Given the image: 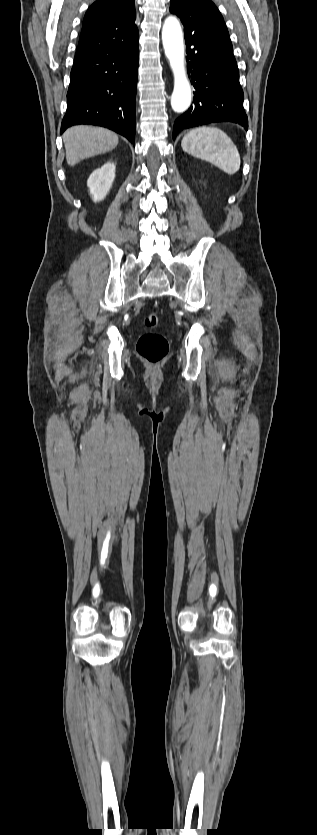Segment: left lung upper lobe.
<instances>
[{
	"instance_id": "1",
	"label": "left lung upper lobe",
	"mask_w": 317,
	"mask_h": 835,
	"mask_svg": "<svg viewBox=\"0 0 317 835\" xmlns=\"http://www.w3.org/2000/svg\"><path fill=\"white\" fill-rule=\"evenodd\" d=\"M170 11L180 17L184 27L190 25L193 18L203 16L224 21L221 13L210 0H171Z\"/></svg>"
}]
</instances>
